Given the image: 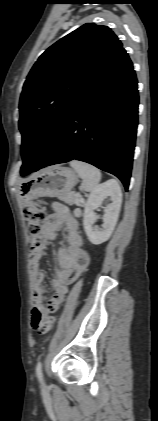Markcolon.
<instances>
[{
  "label": "colon",
  "mask_w": 158,
  "mask_h": 421,
  "mask_svg": "<svg viewBox=\"0 0 158 421\" xmlns=\"http://www.w3.org/2000/svg\"><path fill=\"white\" fill-rule=\"evenodd\" d=\"M27 223L29 242L32 248L38 245L39 237L46 218V212L39 202L28 203L22 210ZM54 324V318L48 316L42 319L36 326L40 333L49 332Z\"/></svg>",
  "instance_id": "obj_1"
}]
</instances>
